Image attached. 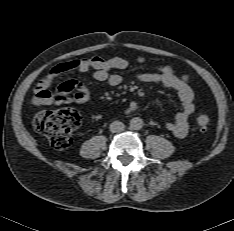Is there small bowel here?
<instances>
[{
    "instance_id": "small-bowel-1",
    "label": "small bowel",
    "mask_w": 234,
    "mask_h": 231,
    "mask_svg": "<svg viewBox=\"0 0 234 231\" xmlns=\"http://www.w3.org/2000/svg\"><path fill=\"white\" fill-rule=\"evenodd\" d=\"M134 61L138 64H147L148 60L143 56H137ZM130 60L124 57H90L78 60L75 67L70 70H63L59 65L52 68L44 78H42L34 89L32 103L35 106L50 104H82L91 97L89 87L82 80H69L64 82L58 92L50 91V86L55 79L72 71L86 72L94 70L93 77L100 82H107L112 87H118L122 83L119 74L112 73L114 70L128 68ZM136 79L141 83L160 84L165 88L175 91L180 100V110L173 121L165 123L166 128L177 138H184L188 133V121L194 111V93L189 85L187 76H178L168 65H157L154 72H139ZM69 95V93H71ZM138 109V103L132 101L126 108L127 113H133Z\"/></svg>"
}]
</instances>
